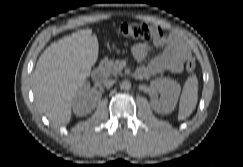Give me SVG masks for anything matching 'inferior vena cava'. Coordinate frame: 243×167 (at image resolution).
Segmentation results:
<instances>
[{
    "instance_id": "obj_1",
    "label": "inferior vena cava",
    "mask_w": 243,
    "mask_h": 167,
    "mask_svg": "<svg viewBox=\"0 0 243 167\" xmlns=\"http://www.w3.org/2000/svg\"><path fill=\"white\" fill-rule=\"evenodd\" d=\"M115 83V80L109 79L104 82L105 87H111Z\"/></svg>"
}]
</instances>
